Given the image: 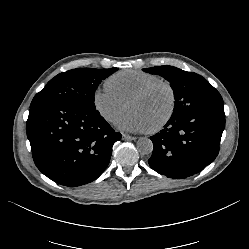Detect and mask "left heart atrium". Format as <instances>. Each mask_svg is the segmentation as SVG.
Returning a JSON list of instances; mask_svg holds the SVG:
<instances>
[{"label":"left heart atrium","mask_w":249,"mask_h":249,"mask_svg":"<svg viewBox=\"0 0 249 249\" xmlns=\"http://www.w3.org/2000/svg\"><path fill=\"white\" fill-rule=\"evenodd\" d=\"M115 126L122 131L134 133L146 132L149 129L142 116L133 111L120 115L115 121Z\"/></svg>","instance_id":"39dd6f15"}]
</instances>
